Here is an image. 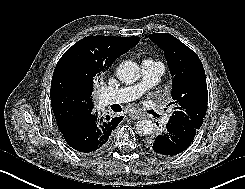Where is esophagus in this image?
Wrapping results in <instances>:
<instances>
[{"label":"esophagus","instance_id":"obj_1","mask_svg":"<svg viewBox=\"0 0 245 189\" xmlns=\"http://www.w3.org/2000/svg\"><path fill=\"white\" fill-rule=\"evenodd\" d=\"M129 117L131 118V119H139L140 118V114L137 112V111H133V112H131V113H129Z\"/></svg>","mask_w":245,"mask_h":189}]
</instances>
